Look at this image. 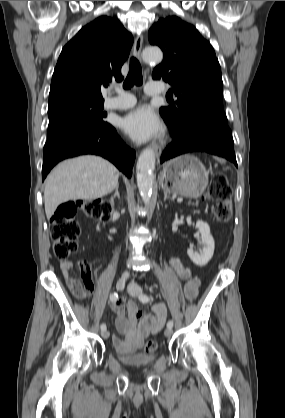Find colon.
Here are the masks:
<instances>
[{
  "instance_id": "1",
  "label": "colon",
  "mask_w": 285,
  "mask_h": 418,
  "mask_svg": "<svg viewBox=\"0 0 285 418\" xmlns=\"http://www.w3.org/2000/svg\"><path fill=\"white\" fill-rule=\"evenodd\" d=\"M205 197L213 202L212 212L218 221L224 222L230 218L232 213V193L224 174L217 173L212 177ZM79 214L101 221H108L110 208L106 203L96 200L79 204L74 202L62 204L50 220L53 252L59 259L65 260L78 250L77 239L81 227L75 218ZM73 293L80 300L86 299L90 294L88 287L81 282L75 284ZM156 348L157 343L153 339L147 340L144 345L146 352H153Z\"/></svg>"
}]
</instances>
